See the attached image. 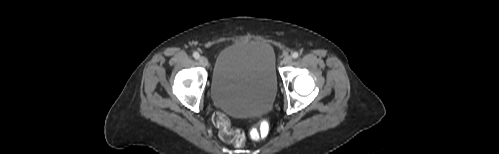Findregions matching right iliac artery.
Here are the masks:
<instances>
[{"instance_id":"obj_1","label":"right iliac artery","mask_w":499,"mask_h":154,"mask_svg":"<svg viewBox=\"0 0 499 154\" xmlns=\"http://www.w3.org/2000/svg\"><path fill=\"white\" fill-rule=\"evenodd\" d=\"M193 57H194L195 59H199V58H200V54H199L198 52H194V53H193Z\"/></svg>"}]
</instances>
